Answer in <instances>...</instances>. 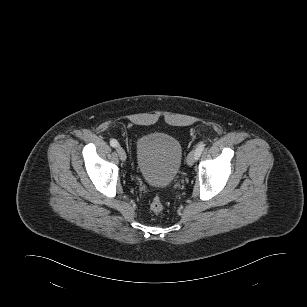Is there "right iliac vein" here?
Returning <instances> with one entry per match:
<instances>
[{
  "instance_id": "1",
  "label": "right iliac vein",
  "mask_w": 307,
  "mask_h": 307,
  "mask_svg": "<svg viewBox=\"0 0 307 307\" xmlns=\"http://www.w3.org/2000/svg\"><path fill=\"white\" fill-rule=\"evenodd\" d=\"M117 153H118V156L120 158L121 161H125L127 156H126V152L124 151V149L122 147H117Z\"/></svg>"
}]
</instances>
